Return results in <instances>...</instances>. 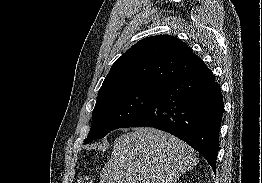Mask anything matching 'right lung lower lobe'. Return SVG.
Returning a JSON list of instances; mask_svg holds the SVG:
<instances>
[{
	"instance_id": "right-lung-lower-lobe-1",
	"label": "right lung lower lobe",
	"mask_w": 262,
	"mask_h": 183,
	"mask_svg": "<svg viewBox=\"0 0 262 183\" xmlns=\"http://www.w3.org/2000/svg\"><path fill=\"white\" fill-rule=\"evenodd\" d=\"M223 111L221 88L203 65L160 87L123 128L149 126L173 134L202 154L216 173Z\"/></svg>"
}]
</instances>
